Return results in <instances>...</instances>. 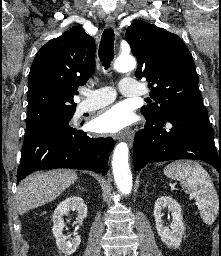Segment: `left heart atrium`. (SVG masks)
I'll list each match as a JSON object with an SVG mask.
<instances>
[{
  "instance_id": "1",
  "label": "left heart atrium",
  "mask_w": 221,
  "mask_h": 256,
  "mask_svg": "<svg viewBox=\"0 0 221 256\" xmlns=\"http://www.w3.org/2000/svg\"><path fill=\"white\" fill-rule=\"evenodd\" d=\"M130 122V113L121 105H115L96 117L93 126L97 132L115 133L124 129Z\"/></svg>"
}]
</instances>
